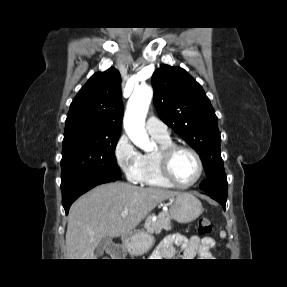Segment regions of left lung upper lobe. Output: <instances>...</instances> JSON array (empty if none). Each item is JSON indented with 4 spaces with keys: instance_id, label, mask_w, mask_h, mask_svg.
Masks as SVG:
<instances>
[{
    "instance_id": "obj_1",
    "label": "left lung upper lobe",
    "mask_w": 287,
    "mask_h": 287,
    "mask_svg": "<svg viewBox=\"0 0 287 287\" xmlns=\"http://www.w3.org/2000/svg\"><path fill=\"white\" fill-rule=\"evenodd\" d=\"M159 117L199 154L207 179L200 188L227 197L218 118L201 85L184 69L163 64L152 77Z\"/></svg>"
}]
</instances>
